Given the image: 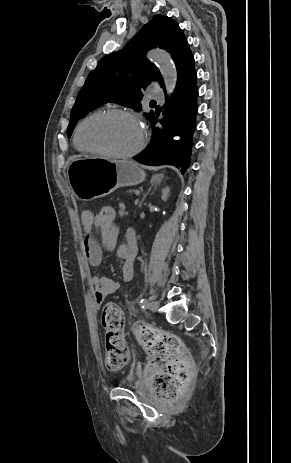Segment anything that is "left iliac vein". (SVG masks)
<instances>
[{
	"mask_svg": "<svg viewBox=\"0 0 291 463\" xmlns=\"http://www.w3.org/2000/svg\"><path fill=\"white\" fill-rule=\"evenodd\" d=\"M158 308H159V303L157 301H152L150 303L151 311L156 312L158 310Z\"/></svg>",
	"mask_w": 291,
	"mask_h": 463,
	"instance_id": "1",
	"label": "left iliac vein"
}]
</instances>
